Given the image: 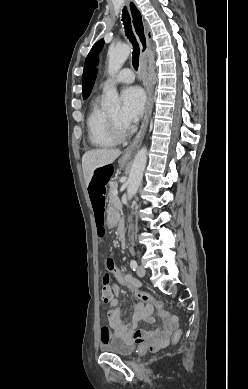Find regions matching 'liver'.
Listing matches in <instances>:
<instances>
[{"instance_id":"6515ba94","label":"liver","mask_w":248,"mask_h":389,"mask_svg":"<svg viewBox=\"0 0 248 389\" xmlns=\"http://www.w3.org/2000/svg\"><path fill=\"white\" fill-rule=\"evenodd\" d=\"M120 154L119 149H93L85 152L82 157V168L86 185L91 182L97 168L113 163Z\"/></svg>"}]
</instances>
